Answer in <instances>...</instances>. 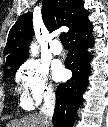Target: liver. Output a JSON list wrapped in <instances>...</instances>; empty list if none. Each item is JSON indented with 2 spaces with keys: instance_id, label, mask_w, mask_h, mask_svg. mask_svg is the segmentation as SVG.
<instances>
[{
  "instance_id": "1",
  "label": "liver",
  "mask_w": 108,
  "mask_h": 127,
  "mask_svg": "<svg viewBox=\"0 0 108 127\" xmlns=\"http://www.w3.org/2000/svg\"><path fill=\"white\" fill-rule=\"evenodd\" d=\"M6 127H45L44 116L41 113L30 114L10 121Z\"/></svg>"
}]
</instances>
